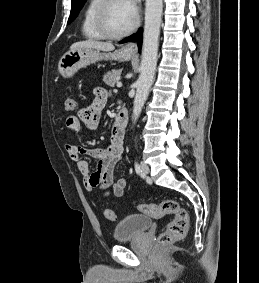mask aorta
I'll list each match as a JSON object with an SVG mask.
<instances>
[{"instance_id":"762f6f07","label":"aorta","mask_w":259,"mask_h":283,"mask_svg":"<svg viewBox=\"0 0 259 283\" xmlns=\"http://www.w3.org/2000/svg\"><path fill=\"white\" fill-rule=\"evenodd\" d=\"M163 11V0H146L145 25L143 33L142 58L140 75L136 82V95L133 107V119L136 121L147 100L153 83L160 35V24Z\"/></svg>"}]
</instances>
